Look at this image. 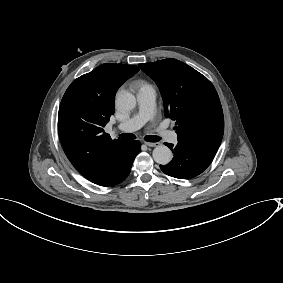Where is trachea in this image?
Here are the masks:
<instances>
[{
    "mask_svg": "<svg viewBox=\"0 0 283 283\" xmlns=\"http://www.w3.org/2000/svg\"><path fill=\"white\" fill-rule=\"evenodd\" d=\"M119 137L123 138V139H135L136 136L134 134H130V133H122L119 135ZM144 140L147 142H158L160 140L159 136H155V135H146L144 137Z\"/></svg>",
    "mask_w": 283,
    "mask_h": 283,
    "instance_id": "obj_1",
    "label": "trachea"
}]
</instances>
